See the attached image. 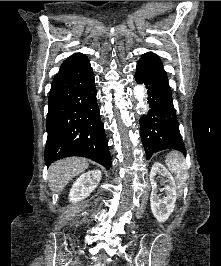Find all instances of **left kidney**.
Here are the masks:
<instances>
[{
    "mask_svg": "<svg viewBox=\"0 0 221 266\" xmlns=\"http://www.w3.org/2000/svg\"><path fill=\"white\" fill-rule=\"evenodd\" d=\"M161 174L164 177L166 196L160 198L155 181L156 175ZM150 182L152 186L150 204L154 217L159 222H165L175 208L176 202V185L170 172L159 162H155L150 172Z\"/></svg>",
    "mask_w": 221,
    "mask_h": 266,
    "instance_id": "5707ae66",
    "label": "left kidney"
}]
</instances>
